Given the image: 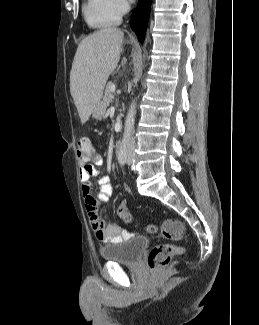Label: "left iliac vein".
I'll use <instances>...</instances> for the list:
<instances>
[{"label": "left iliac vein", "instance_id": "1", "mask_svg": "<svg viewBox=\"0 0 259 325\" xmlns=\"http://www.w3.org/2000/svg\"><path fill=\"white\" fill-rule=\"evenodd\" d=\"M127 163L130 165L132 163V154L129 152L128 157H127Z\"/></svg>", "mask_w": 259, "mask_h": 325}]
</instances>
